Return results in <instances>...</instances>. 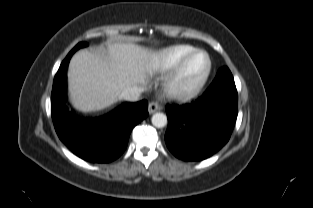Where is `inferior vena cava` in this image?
I'll list each match as a JSON object with an SVG mask.
<instances>
[{"label": "inferior vena cava", "instance_id": "inferior-vena-cava-1", "mask_svg": "<svg viewBox=\"0 0 313 208\" xmlns=\"http://www.w3.org/2000/svg\"><path fill=\"white\" fill-rule=\"evenodd\" d=\"M142 90L137 86H128L120 94V98L127 101H137L141 96Z\"/></svg>", "mask_w": 313, "mask_h": 208}]
</instances>
